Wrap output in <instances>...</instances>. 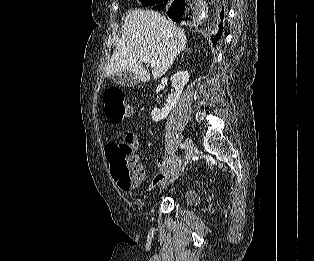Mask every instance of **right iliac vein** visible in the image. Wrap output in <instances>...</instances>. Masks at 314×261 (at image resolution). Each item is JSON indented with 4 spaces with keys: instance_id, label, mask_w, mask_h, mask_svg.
Segmentation results:
<instances>
[{
    "instance_id": "right-iliac-vein-1",
    "label": "right iliac vein",
    "mask_w": 314,
    "mask_h": 261,
    "mask_svg": "<svg viewBox=\"0 0 314 261\" xmlns=\"http://www.w3.org/2000/svg\"><path fill=\"white\" fill-rule=\"evenodd\" d=\"M185 144H186V153H185L184 165L181 168L180 172H178L175 176H173V178L166 184V186L169 185L170 183L174 182V180H176L181 175V173L184 171L185 166L191 160V157L193 155L194 148H195L194 143L190 138H187L185 141ZM164 187H165V185L163 186V188Z\"/></svg>"
}]
</instances>
